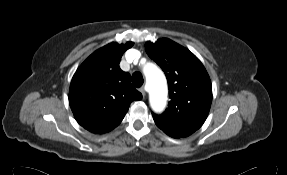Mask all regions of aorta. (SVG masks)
<instances>
[{
  "label": "aorta",
  "mask_w": 287,
  "mask_h": 175,
  "mask_svg": "<svg viewBox=\"0 0 287 175\" xmlns=\"http://www.w3.org/2000/svg\"><path fill=\"white\" fill-rule=\"evenodd\" d=\"M143 72L151 88L150 104L155 112H161L166 106L167 84L163 72L154 64H147Z\"/></svg>",
  "instance_id": "1"
}]
</instances>
